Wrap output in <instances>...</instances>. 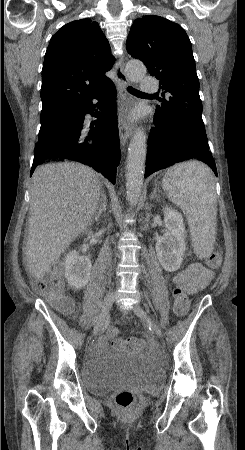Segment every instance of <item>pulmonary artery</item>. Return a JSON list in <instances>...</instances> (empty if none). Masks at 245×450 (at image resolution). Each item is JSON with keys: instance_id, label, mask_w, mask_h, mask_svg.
Wrapping results in <instances>:
<instances>
[{"instance_id": "1", "label": "pulmonary artery", "mask_w": 245, "mask_h": 450, "mask_svg": "<svg viewBox=\"0 0 245 450\" xmlns=\"http://www.w3.org/2000/svg\"><path fill=\"white\" fill-rule=\"evenodd\" d=\"M143 93H156L158 91L157 79L151 76H145L141 79Z\"/></svg>"}]
</instances>
